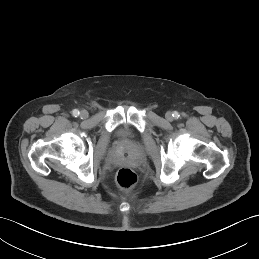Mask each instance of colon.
Instances as JSON below:
<instances>
[{
    "mask_svg": "<svg viewBox=\"0 0 259 259\" xmlns=\"http://www.w3.org/2000/svg\"><path fill=\"white\" fill-rule=\"evenodd\" d=\"M136 180V175L131 169L122 168L118 171L117 183L122 189H131L135 185Z\"/></svg>",
    "mask_w": 259,
    "mask_h": 259,
    "instance_id": "5ec220e1",
    "label": "colon"
}]
</instances>
